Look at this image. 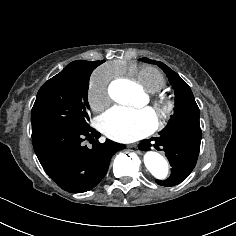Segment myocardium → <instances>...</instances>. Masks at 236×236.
Wrapping results in <instances>:
<instances>
[{"mask_svg":"<svg viewBox=\"0 0 236 236\" xmlns=\"http://www.w3.org/2000/svg\"><path fill=\"white\" fill-rule=\"evenodd\" d=\"M151 108L156 115L155 128H166L175 113L174 100L165 94H161L152 101Z\"/></svg>","mask_w":236,"mask_h":236,"instance_id":"myocardium-1","label":"myocardium"}]
</instances>
